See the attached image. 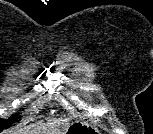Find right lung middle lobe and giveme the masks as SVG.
Listing matches in <instances>:
<instances>
[{"label": "right lung middle lobe", "mask_w": 153, "mask_h": 134, "mask_svg": "<svg viewBox=\"0 0 153 134\" xmlns=\"http://www.w3.org/2000/svg\"><path fill=\"white\" fill-rule=\"evenodd\" d=\"M15 119H16V116H12L11 118H9L8 120H0V132L3 130V129H6L8 127L11 126V124L13 122H15Z\"/></svg>", "instance_id": "1"}]
</instances>
